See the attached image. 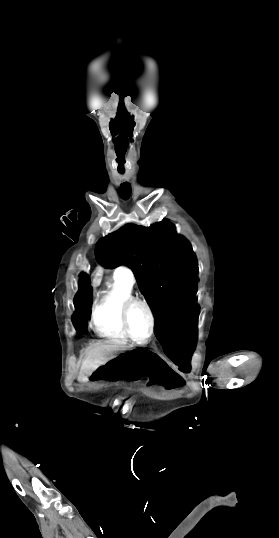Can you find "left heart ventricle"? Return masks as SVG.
Masks as SVG:
<instances>
[{
	"label": "left heart ventricle",
	"mask_w": 279,
	"mask_h": 538,
	"mask_svg": "<svg viewBox=\"0 0 279 538\" xmlns=\"http://www.w3.org/2000/svg\"><path fill=\"white\" fill-rule=\"evenodd\" d=\"M100 210H114L116 207H97ZM104 226H107V220L102 219ZM129 325L133 336L139 340L147 339L150 332V321L146 310L141 306H134L130 310Z\"/></svg>",
	"instance_id": "left-heart-ventricle-1"
}]
</instances>
